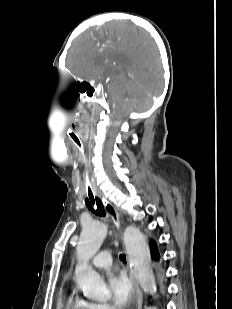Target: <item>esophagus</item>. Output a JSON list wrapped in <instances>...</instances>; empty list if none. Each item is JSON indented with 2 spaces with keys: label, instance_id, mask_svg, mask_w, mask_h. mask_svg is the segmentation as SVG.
Listing matches in <instances>:
<instances>
[{
  "label": "esophagus",
  "instance_id": "34e87169",
  "mask_svg": "<svg viewBox=\"0 0 232 309\" xmlns=\"http://www.w3.org/2000/svg\"><path fill=\"white\" fill-rule=\"evenodd\" d=\"M103 203L105 205L106 211L108 212L109 216L111 217L114 225L118 228L120 226V219H119V214L115 207L107 200L106 198L102 197ZM131 279L134 281L132 276H130ZM134 286L137 294V302H136V309H141L142 308V302H143V296L142 292L139 288V286L135 283L134 281Z\"/></svg>",
  "mask_w": 232,
  "mask_h": 309
}]
</instances>
